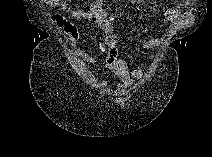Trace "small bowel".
Listing matches in <instances>:
<instances>
[{"label": "small bowel", "mask_w": 212, "mask_h": 157, "mask_svg": "<svg viewBox=\"0 0 212 157\" xmlns=\"http://www.w3.org/2000/svg\"><path fill=\"white\" fill-rule=\"evenodd\" d=\"M44 5L65 11L70 18L75 21H88L103 30L104 38L94 39L97 49L102 53L101 60L84 53L76 48V44L80 38V30L69 19L61 14H53L51 22L55 26L61 28L69 37L70 43L74 48L76 55L90 64H102L109 72L120 79L118 89L124 90L133 85L136 80L144 77V70L142 68H129L127 63L119 58L120 42L118 37L114 34L113 20L102 2L92 3L87 9H79L74 7L69 1L65 0H45ZM136 4L138 2H135ZM187 16V8L185 6L171 7L166 10L165 18L172 24H181ZM161 43L159 38H152L138 44L142 49H154ZM108 80L104 79L99 82V87L107 88Z\"/></svg>", "instance_id": "obj_1"}]
</instances>
